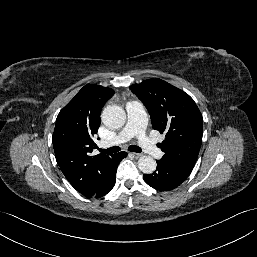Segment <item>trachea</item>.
<instances>
[{"label": "trachea", "mask_w": 257, "mask_h": 257, "mask_svg": "<svg viewBox=\"0 0 257 257\" xmlns=\"http://www.w3.org/2000/svg\"><path fill=\"white\" fill-rule=\"evenodd\" d=\"M128 150L131 152H136V153H140L142 152L141 148L136 146V145H130L128 147ZM101 153L103 154H112V153H117L120 151V147L119 146H113L110 147L108 149H100Z\"/></svg>", "instance_id": "3493384b"}]
</instances>
